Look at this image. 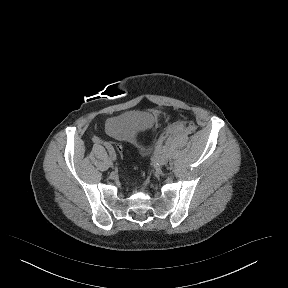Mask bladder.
<instances>
[{
	"label": "bladder",
	"instance_id": "1",
	"mask_svg": "<svg viewBox=\"0 0 288 288\" xmlns=\"http://www.w3.org/2000/svg\"><path fill=\"white\" fill-rule=\"evenodd\" d=\"M156 117L149 111H133L110 119L105 126L108 134L123 139L135 138L139 133L150 130Z\"/></svg>",
	"mask_w": 288,
	"mask_h": 288
}]
</instances>
